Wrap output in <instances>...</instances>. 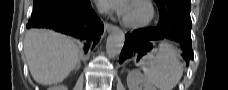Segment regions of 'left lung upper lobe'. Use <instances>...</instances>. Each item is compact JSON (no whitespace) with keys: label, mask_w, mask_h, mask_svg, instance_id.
Returning <instances> with one entry per match:
<instances>
[{"label":"left lung upper lobe","mask_w":228,"mask_h":90,"mask_svg":"<svg viewBox=\"0 0 228 90\" xmlns=\"http://www.w3.org/2000/svg\"><path fill=\"white\" fill-rule=\"evenodd\" d=\"M159 8L160 16L171 17L185 21L186 17L190 20V0H155Z\"/></svg>","instance_id":"1"}]
</instances>
